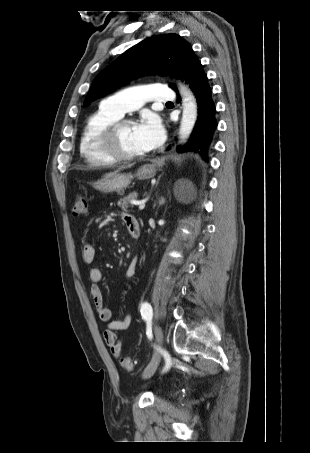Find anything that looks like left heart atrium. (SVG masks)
I'll return each instance as SVG.
<instances>
[{
    "label": "left heart atrium",
    "instance_id": "1",
    "mask_svg": "<svg viewBox=\"0 0 310 453\" xmlns=\"http://www.w3.org/2000/svg\"><path fill=\"white\" fill-rule=\"evenodd\" d=\"M135 135L146 151L160 146L164 140V128L160 119L155 115L145 116L135 124Z\"/></svg>",
    "mask_w": 310,
    "mask_h": 453
}]
</instances>
